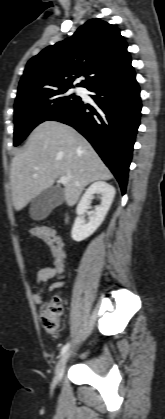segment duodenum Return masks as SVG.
<instances>
[{
	"label": "duodenum",
	"mask_w": 165,
	"mask_h": 419,
	"mask_svg": "<svg viewBox=\"0 0 165 419\" xmlns=\"http://www.w3.org/2000/svg\"><path fill=\"white\" fill-rule=\"evenodd\" d=\"M68 221H69V217H68V216H66V217H65V223L67 224V223H68Z\"/></svg>",
	"instance_id": "duodenum-1"
}]
</instances>
